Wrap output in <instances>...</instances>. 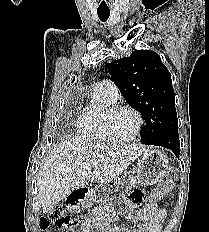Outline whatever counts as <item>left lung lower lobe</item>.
I'll use <instances>...</instances> for the list:
<instances>
[{
    "label": "left lung lower lobe",
    "mask_w": 209,
    "mask_h": 232,
    "mask_svg": "<svg viewBox=\"0 0 209 232\" xmlns=\"http://www.w3.org/2000/svg\"><path fill=\"white\" fill-rule=\"evenodd\" d=\"M153 145L162 146L173 151L176 157L179 158V135L178 128L170 129L158 136V138L153 142Z\"/></svg>",
    "instance_id": "0a47b994"
}]
</instances>
